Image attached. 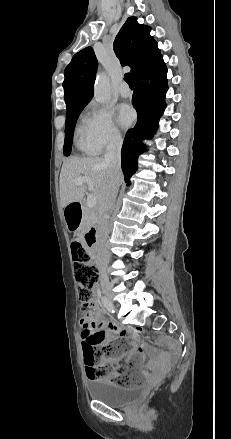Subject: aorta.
<instances>
[{
	"mask_svg": "<svg viewBox=\"0 0 231 439\" xmlns=\"http://www.w3.org/2000/svg\"><path fill=\"white\" fill-rule=\"evenodd\" d=\"M110 96L109 80L104 72L97 75L94 85V98L99 103H104Z\"/></svg>",
	"mask_w": 231,
	"mask_h": 439,
	"instance_id": "aorta-1",
	"label": "aorta"
}]
</instances>
